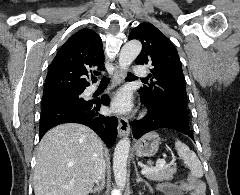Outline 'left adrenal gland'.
<instances>
[{"instance_id": "a2214340", "label": "left adrenal gland", "mask_w": 240, "mask_h": 195, "mask_svg": "<svg viewBox=\"0 0 240 195\" xmlns=\"http://www.w3.org/2000/svg\"><path fill=\"white\" fill-rule=\"evenodd\" d=\"M135 171H136V181H144L145 185H149L148 181L146 179H143V177H140L137 169L136 163H134Z\"/></svg>"}]
</instances>
